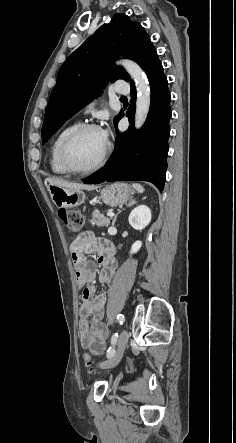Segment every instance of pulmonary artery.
Wrapping results in <instances>:
<instances>
[{
    "mask_svg": "<svg viewBox=\"0 0 236 443\" xmlns=\"http://www.w3.org/2000/svg\"><path fill=\"white\" fill-rule=\"evenodd\" d=\"M115 91H116L117 93H123V92H124V89H123L122 87H120L119 85H116V87H115Z\"/></svg>",
    "mask_w": 236,
    "mask_h": 443,
    "instance_id": "pulmonary-artery-1",
    "label": "pulmonary artery"
}]
</instances>
